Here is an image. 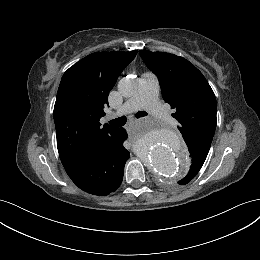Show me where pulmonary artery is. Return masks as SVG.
<instances>
[{
	"label": "pulmonary artery",
	"mask_w": 260,
	"mask_h": 260,
	"mask_svg": "<svg viewBox=\"0 0 260 260\" xmlns=\"http://www.w3.org/2000/svg\"><path fill=\"white\" fill-rule=\"evenodd\" d=\"M159 80L153 73H144L140 78L138 92L124 103L118 110V115H127L140 109H146L164 124H171L173 118L158 101Z\"/></svg>",
	"instance_id": "e3ab8cb5"
}]
</instances>
